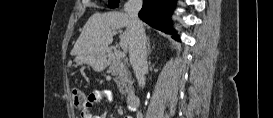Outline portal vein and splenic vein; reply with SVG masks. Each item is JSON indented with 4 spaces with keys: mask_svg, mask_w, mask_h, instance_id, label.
<instances>
[{
    "mask_svg": "<svg viewBox=\"0 0 273 118\" xmlns=\"http://www.w3.org/2000/svg\"><path fill=\"white\" fill-rule=\"evenodd\" d=\"M115 33H116V32H114V34H115ZM117 55H118L119 57H124V56H125V50L123 49V51H118Z\"/></svg>",
    "mask_w": 273,
    "mask_h": 118,
    "instance_id": "1",
    "label": "portal vein and splenic vein"
}]
</instances>
